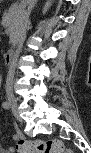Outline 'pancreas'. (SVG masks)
<instances>
[{
  "mask_svg": "<svg viewBox=\"0 0 91 153\" xmlns=\"http://www.w3.org/2000/svg\"><path fill=\"white\" fill-rule=\"evenodd\" d=\"M2 24L6 27L10 36V43L15 44L18 33L22 26V17L17 7L13 6L8 12L4 13Z\"/></svg>",
  "mask_w": 91,
  "mask_h": 153,
  "instance_id": "1",
  "label": "pancreas"
}]
</instances>
